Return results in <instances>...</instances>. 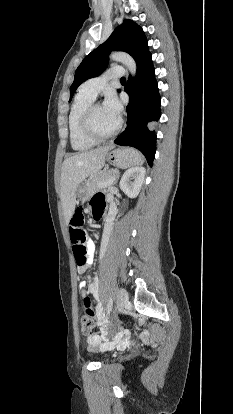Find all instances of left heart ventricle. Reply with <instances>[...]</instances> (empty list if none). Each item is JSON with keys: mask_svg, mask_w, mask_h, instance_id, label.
<instances>
[{"mask_svg": "<svg viewBox=\"0 0 233 414\" xmlns=\"http://www.w3.org/2000/svg\"><path fill=\"white\" fill-rule=\"evenodd\" d=\"M118 120L110 116L103 108V106L98 105L94 108L91 124L95 132L98 134L104 135L111 132Z\"/></svg>", "mask_w": 233, "mask_h": 414, "instance_id": "1", "label": "left heart ventricle"}]
</instances>
